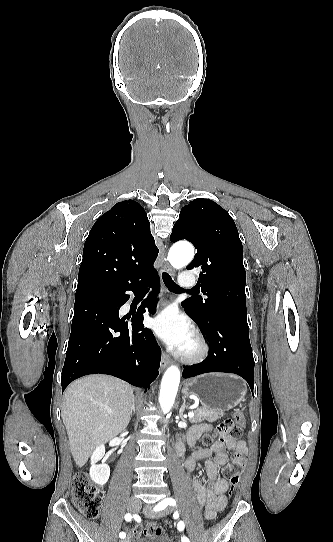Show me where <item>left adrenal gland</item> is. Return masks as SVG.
Instances as JSON below:
<instances>
[{
	"label": "left adrenal gland",
	"instance_id": "left-adrenal-gland-1",
	"mask_svg": "<svg viewBox=\"0 0 333 542\" xmlns=\"http://www.w3.org/2000/svg\"><path fill=\"white\" fill-rule=\"evenodd\" d=\"M185 398H186V396H182L183 404H182V406H181V408L179 410V416H180L181 420H184L183 414H184L185 408H186V400H185Z\"/></svg>",
	"mask_w": 333,
	"mask_h": 542
}]
</instances>
